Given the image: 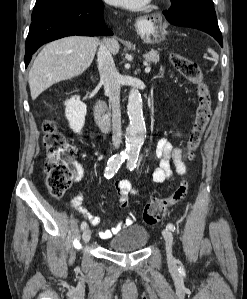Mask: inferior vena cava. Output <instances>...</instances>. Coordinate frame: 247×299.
I'll return each mask as SVG.
<instances>
[{
    "label": "inferior vena cava",
    "instance_id": "obj_1",
    "mask_svg": "<svg viewBox=\"0 0 247 299\" xmlns=\"http://www.w3.org/2000/svg\"><path fill=\"white\" fill-rule=\"evenodd\" d=\"M98 70L104 89L112 106V144L115 149L120 147L121 110H120V79L115 67L111 51L101 43L97 53Z\"/></svg>",
    "mask_w": 247,
    "mask_h": 299
}]
</instances>
